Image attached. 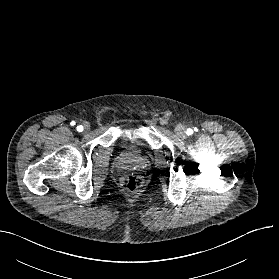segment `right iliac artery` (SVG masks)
<instances>
[{
	"mask_svg": "<svg viewBox=\"0 0 279 279\" xmlns=\"http://www.w3.org/2000/svg\"><path fill=\"white\" fill-rule=\"evenodd\" d=\"M71 125H75V122H71ZM77 131L82 132L83 131V126H77Z\"/></svg>",
	"mask_w": 279,
	"mask_h": 279,
	"instance_id": "82829eb1",
	"label": "right iliac artery"
}]
</instances>
